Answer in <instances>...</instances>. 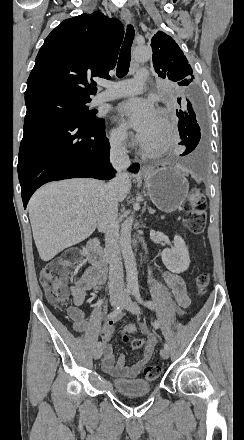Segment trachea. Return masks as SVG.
<instances>
[{
  "label": "trachea",
  "mask_w": 244,
  "mask_h": 440,
  "mask_svg": "<svg viewBox=\"0 0 244 440\" xmlns=\"http://www.w3.org/2000/svg\"><path fill=\"white\" fill-rule=\"evenodd\" d=\"M135 31L131 24L127 26L125 39L120 50L116 73L118 77H123L128 73L131 61V45L134 40Z\"/></svg>",
  "instance_id": "3493384b"
}]
</instances>
